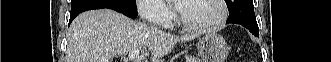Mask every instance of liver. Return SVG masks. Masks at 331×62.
Wrapping results in <instances>:
<instances>
[{"label":"liver","mask_w":331,"mask_h":62,"mask_svg":"<svg viewBox=\"0 0 331 62\" xmlns=\"http://www.w3.org/2000/svg\"><path fill=\"white\" fill-rule=\"evenodd\" d=\"M195 37L167 34L113 10H93L80 14L72 22L66 62H113L115 57L141 47L149 49L151 62H162L178 42Z\"/></svg>","instance_id":"liver-1"}]
</instances>
